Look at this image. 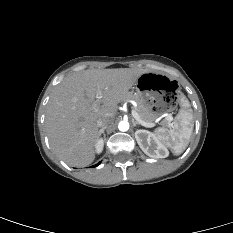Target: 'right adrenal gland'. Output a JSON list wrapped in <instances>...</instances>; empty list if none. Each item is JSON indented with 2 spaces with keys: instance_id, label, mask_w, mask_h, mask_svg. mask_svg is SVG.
I'll return each instance as SVG.
<instances>
[{
  "instance_id": "1",
  "label": "right adrenal gland",
  "mask_w": 233,
  "mask_h": 233,
  "mask_svg": "<svg viewBox=\"0 0 233 233\" xmlns=\"http://www.w3.org/2000/svg\"><path fill=\"white\" fill-rule=\"evenodd\" d=\"M104 130H105V128L100 129L99 133H100V134H103V136H104V140H105Z\"/></svg>"
}]
</instances>
